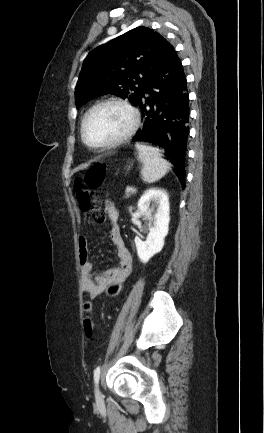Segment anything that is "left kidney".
I'll return each instance as SVG.
<instances>
[{
	"mask_svg": "<svg viewBox=\"0 0 264 433\" xmlns=\"http://www.w3.org/2000/svg\"><path fill=\"white\" fill-rule=\"evenodd\" d=\"M157 207L153 217L150 216V203ZM138 209L143 215L150 217L153 223L145 241L135 237V246L142 263H147L151 257L160 252L164 246V239L169 231L170 205L168 194L164 189L151 188L144 192L138 201Z\"/></svg>",
	"mask_w": 264,
	"mask_h": 433,
	"instance_id": "5707ae66",
	"label": "left kidney"
}]
</instances>
